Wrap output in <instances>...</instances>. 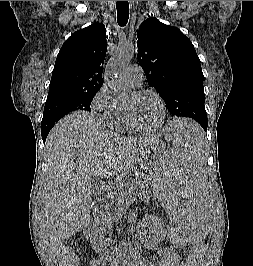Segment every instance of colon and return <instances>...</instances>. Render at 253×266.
<instances>
[{
    "instance_id": "1",
    "label": "colon",
    "mask_w": 253,
    "mask_h": 266,
    "mask_svg": "<svg viewBox=\"0 0 253 266\" xmlns=\"http://www.w3.org/2000/svg\"><path fill=\"white\" fill-rule=\"evenodd\" d=\"M207 250V242H203V248H192L188 259L187 265L190 266L197 263L202 259ZM61 266H78V256L74 250L65 251L60 258Z\"/></svg>"
}]
</instances>
